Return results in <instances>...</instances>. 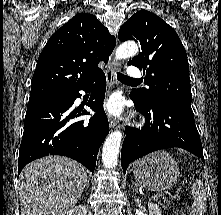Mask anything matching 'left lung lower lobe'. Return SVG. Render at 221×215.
<instances>
[{
	"mask_svg": "<svg viewBox=\"0 0 221 215\" xmlns=\"http://www.w3.org/2000/svg\"><path fill=\"white\" fill-rule=\"evenodd\" d=\"M136 109L145 115L140 129L127 126L121 150L124 173L130 162L156 150L179 147L188 150L204 162L203 148L191 106L172 102L141 103L132 94ZM205 163V162H204Z\"/></svg>",
	"mask_w": 221,
	"mask_h": 215,
	"instance_id": "0a47b994",
	"label": "left lung lower lobe"
}]
</instances>
